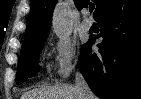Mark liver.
I'll return each instance as SVG.
<instances>
[{"mask_svg":"<svg viewBox=\"0 0 141 99\" xmlns=\"http://www.w3.org/2000/svg\"><path fill=\"white\" fill-rule=\"evenodd\" d=\"M20 99H80V94L75 85L62 84L30 90Z\"/></svg>","mask_w":141,"mask_h":99,"instance_id":"liver-1","label":"liver"}]
</instances>
